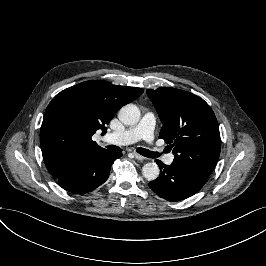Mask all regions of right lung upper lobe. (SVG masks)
I'll return each mask as SVG.
<instances>
[{
  "label": "right lung upper lobe",
  "mask_w": 266,
  "mask_h": 266,
  "mask_svg": "<svg viewBox=\"0 0 266 266\" xmlns=\"http://www.w3.org/2000/svg\"><path fill=\"white\" fill-rule=\"evenodd\" d=\"M142 93L141 88L91 80L57 94L45 110L40 129L43 159L53 177H59L73 158L104 150L92 135L99 129L104 134L117 111Z\"/></svg>",
  "instance_id": "cb5924a9"
}]
</instances>
